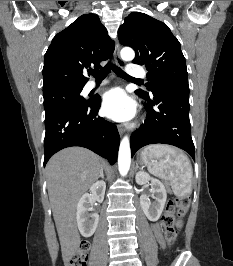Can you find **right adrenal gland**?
Here are the masks:
<instances>
[{
  "label": "right adrenal gland",
  "mask_w": 233,
  "mask_h": 266,
  "mask_svg": "<svg viewBox=\"0 0 233 266\" xmlns=\"http://www.w3.org/2000/svg\"><path fill=\"white\" fill-rule=\"evenodd\" d=\"M99 178L104 179V173H103V170L101 171V173H100V175H99Z\"/></svg>",
  "instance_id": "2a0ac1e0"
}]
</instances>
